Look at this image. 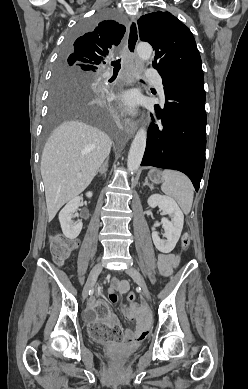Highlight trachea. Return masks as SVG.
Segmentation results:
<instances>
[{"instance_id": "trachea-1", "label": "trachea", "mask_w": 248, "mask_h": 389, "mask_svg": "<svg viewBox=\"0 0 248 389\" xmlns=\"http://www.w3.org/2000/svg\"><path fill=\"white\" fill-rule=\"evenodd\" d=\"M111 65L114 67L113 71L114 73H118L121 68V60H116L111 62Z\"/></svg>"}]
</instances>
